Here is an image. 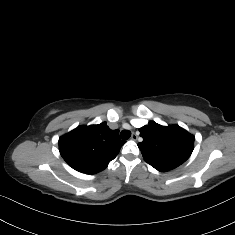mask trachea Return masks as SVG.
<instances>
[{
	"label": "trachea",
	"mask_w": 235,
	"mask_h": 235,
	"mask_svg": "<svg viewBox=\"0 0 235 235\" xmlns=\"http://www.w3.org/2000/svg\"><path fill=\"white\" fill-rule=\"evenodd\" d=\"M120 136L123 140H127V139L130 138L131 132L128 131V130H122L121 133H120Z\"/></svg>",
	"instance_id": "trachea-1"
}]
</instances>
